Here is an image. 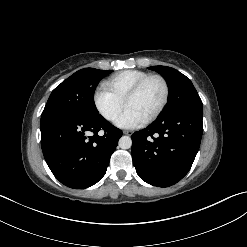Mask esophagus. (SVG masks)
<instances>
[{"instance_id":"obj_1","label":"esophagus","mask_w":247,"mask_h":247,"mask_svg":"<svg viewBox=\"0 0 247 247\" xmlns=\"http://www.w3.org/2000/svg\"><path fill=\"white\" fill-rule=\"evenodd\" d=\"M132 131H130V130H124L123 131V134H125V135H129V136H131L132 135Z\"/></svg>"}]
</instances>
